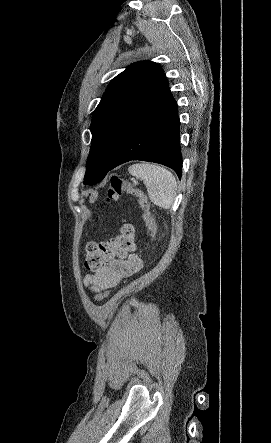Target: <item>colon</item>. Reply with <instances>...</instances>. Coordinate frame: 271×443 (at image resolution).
Segmentation results:
<instances>
[{
  "mask_svg": "<svg viewBox=\"0 0 271 443\" xmlns=\"http://www.w3.org/2000/svg\"><path fill=\"white\" fill-rule=\"evenodd\" d=\"M124 195L133 196L137 199L148 235L153 237L155 224L150 215L149 205L145 195L129 181L118 176H112L106 197L107 201L117 200ZM135 239L134 227L130 223L125 222L117 236L100 243H86L84 247V268L91 272H97L104 264L112 259L126 256L134 250ZM109 294V290H102L95 296V300L101 302L105 300Z\"/></svg>",
  "mask_w": 271,
  "mask_h": 443,
  "instance_id": "5ec220e1",
  "label": "colon"
}]
</instances>
